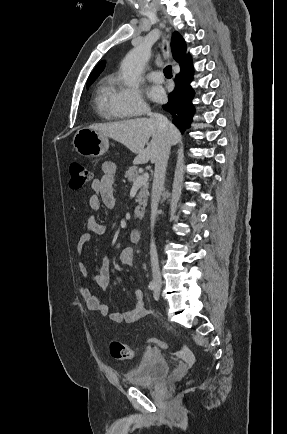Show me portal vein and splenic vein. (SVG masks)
<instances>
[{
  "instance_id": "obj_1",
  "label": "portal vein and splenic vein",
  "mask_w": 287,
  "mask_h": 434,
  "mask_svg": "<svg viewBox=\"0 0 287 434\" xmlns=\"http://www.w3.org/2000/svg\"><path fill=\"white\" fill-rule=\"evenodd\" d=\"M149 178V174L145 173L142 176H139L134 182H133V188H139L147 183Z\"/></svg>"
}]
</instances>
